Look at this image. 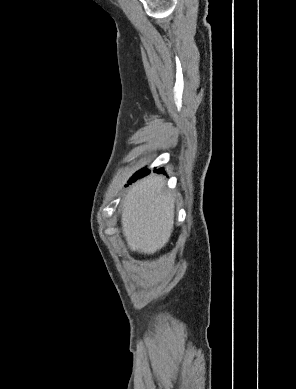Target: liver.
Here are the masks:
<instances>
[{"instance_id": "obj_1", "label": "liver", "mask_w": 296, "mask_h": 389, "mask_svg": "<svg viewBox=\"0 0 296 389\" xmlns=\"http://www.w3.org/2000/svg\"><path fill=\"white\" fill-rule=\"evenodd\" d=\"M121 224L131 251L154 254L163 248L174 227V199L160 177L133 185L122 201Z\"/></svg>"}]
</instances>
